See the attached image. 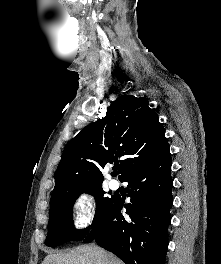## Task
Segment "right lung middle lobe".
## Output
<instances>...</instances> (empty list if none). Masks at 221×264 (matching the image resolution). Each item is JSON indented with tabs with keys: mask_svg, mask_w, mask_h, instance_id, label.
Returning a JSON list of instances; mask_svg holds the SVG:
<instances>
[{
	"mask_svg": "<svg viewBox=\"0 0 221 264\" xmlns=\"http://www.w3.org/2000/svg\"><path fill=\"white\" fill-rule=\"evenodd\" d=\"M84 192L95 197L96 212L90 227L77 230L73 224L72 208L75 200ZM115 200V196H105L102 186L66 195L58 199L50 206L49 231L45 245L54 247L67 241L83 240L99 224L103 216L113 206Z\"/></svg>",
	"mask_w": 221,
	"mask_h": 264,
	"instance_id": "obj_1",
	"label": "right lung middle lobe"
}]
</instances>
